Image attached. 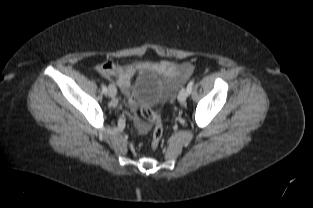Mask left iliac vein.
Masks as SVG:
<instances>
[{
	"instance_id": "4c4485c4",
	"label": "left iliac vein",
	"mask_w": 313,
	"mask_h": 208,
	"mask_svg": "<svg viewBox=\"0 0 313 208\" xmlns=\"http://www.w3.org/2000/svg\"><path fill=\"white\" fill-rule=\"evenodd\" d=\"M188 97V92H187V89L186 88H182L178 94V101L180 103H183L186 101Z\"/></svg>"
}]
</instances>
